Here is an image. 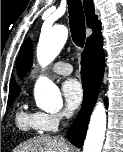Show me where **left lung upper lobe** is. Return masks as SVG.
<instances>
[{
	"label": "left lung upper lobe",
	"instance_id": "1",
	"mask_svg": "<svg viewBox=\"0 0 123 152\" xmlns=\"http://www.w3.org/2000/svg\"><path fill=\"white\" fill-rule=\"evenodd\" d=\"M32 65V46L29 39H27L22 46L18 59H17V71L20 77L25 76L28 69Z\"/></svg>",
	"mask_w": 123,
	"mask_h": 152
}]
</instances>
